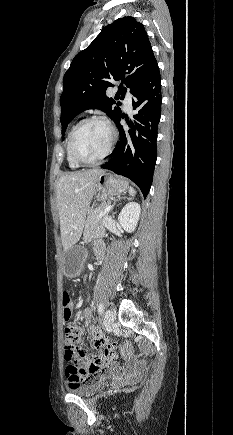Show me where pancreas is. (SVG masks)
Masks as SVG:
<instances>
[{"mask_svg": "<svg viewBox=\"0 0 233 435\" xmlns=\"http://www.w3.org/2000/svg\"><path fill=\"white\" fill-rule=\"evenodd\" d=\"M109 203H102L95 210L91 211L85 221L84 239L90 241L96 237L105 235L104 221L108 213L101 215Z\"/></svg>", "mask_w": 233, "mask_h": 435, "instance_id": "cf45deb5", "label": "pancreas"}]
</instances>
